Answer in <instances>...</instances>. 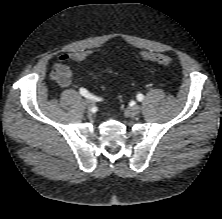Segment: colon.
Masks as SVG:
<instances>
[{"label":"colon","mask_w":222,"mask_h":219,"mask_svg":"<svg viewBox=\"0 0 222 219\" xmlns=\"http://www.w3.org/2000/svg\"><path fill=\"white\" fill-rule=\"evenodd\" d=\"M145 61L154 62L161 65H168L172 62V57L167 54L145 52L142 54Z\"/></svg>","instance_id":"colon-1"}]
</instances>
